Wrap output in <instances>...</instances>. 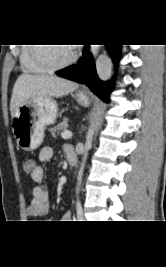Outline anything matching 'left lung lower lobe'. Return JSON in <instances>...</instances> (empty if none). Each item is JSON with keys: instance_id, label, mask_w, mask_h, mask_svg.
Instances as JSON below:
<instances>
[{"instance_id": "obj_1", "label": "left lung lower lobe", "mask_w": 166, "mask_h": 267, "mask_svg": "<svg viewBox=\"0 0 166 267\" xmlns=\"http://www.w3.org/2000/svg\"><path fill=\"white\" fill-rule=\"evenodd\" d=\"M106 47L116 63L120 57L121 45H106ZM56 74L69 80L85 84L103 101H109V94L113 84L112 82H103L99 80L95 69L94 59L88 50V45H85L83 58L78 65L58 70L56 71Z\"/></svg>"}]
</instances>
